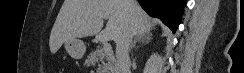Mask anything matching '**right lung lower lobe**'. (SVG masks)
Returning <instances> with one entry per match:
<instances>
[{
    "instance_id": "right-lung-lower-lobe-1",
    "label": "right lung lower lobe",
    "mask_w": 244,
    "mask_h": 73,
    "mask_svg": "<svg viewBox=\"0 0 244 73\" xmlns=\"http://www.w3.org/2000/svg\"><path fill=\"white\" fill-rule=\"evenodd\" d=\"M142 8L152 17H157L173 33L180 24L186 0H138Z\"/></svg>"
}]
</instances>
